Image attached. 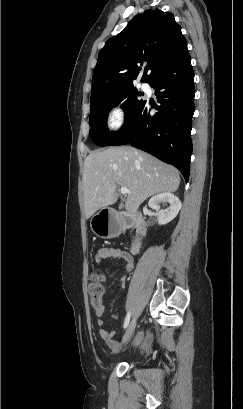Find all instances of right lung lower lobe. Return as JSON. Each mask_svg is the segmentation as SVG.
Instances as JSON below:
<instances>
[{"mask_svg":"<svg viewBox=\"0 0 243 409\" xmlns=\"http://www.w3.org/2000/svg\"><path fill=\"white\" fill-rule=\"evenodd\" d=\"M159 105L143 101L111 145L132 146L175 166L189 179L192 154L191 119L194 113V72L187 46L149 82ZM151 105V106H150Z\"/></svg>","mask_w":243,"mask_h":409,"instance_id":"obj_1","label":"right lung lower lobe"}]
</instances>
